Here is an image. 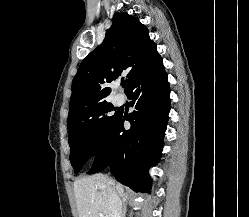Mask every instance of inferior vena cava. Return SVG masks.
<instances>
[{
	"label": "inferior vena cava",
	"instance_id": "inferior-vena-cava-1",
	"mask_svg": "<svg viewBox=\"0 0 249 217\" xmlns=\"http://www.w3.org/2000/svg\"><path fill=\"white\" fill-rule=\"evenodd\" d=\"M109 209L110 217H122V202L113 188L109 195Z\"/></svg>",
	"mask_w": 249,
	"mask_h": 217
}]
</instances>
